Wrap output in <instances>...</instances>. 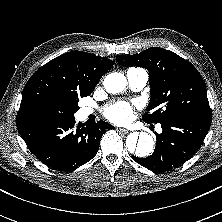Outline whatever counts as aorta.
Instances as JSON below:
<instances>
[{
    "label": "aorta",
    "mask_w": 222,
    "mask_h": 222,
    "mask_svg": "<svg viewBox=\"0 0 222 222\" xmlns=\"http://www.w3.org/2000/svg\"><path fill=\"white\" fill-rule=\"evenodd\" d=\"M103 84L108 93L117 94L125 89L127 81L123 74L115 72L107 75ZM126 146L131 154L139 158H144L152 153L154 140L146 132H133L128 136Z\"/></svg>",
    "instance_id": "aorta-1"
}]
</instances>
